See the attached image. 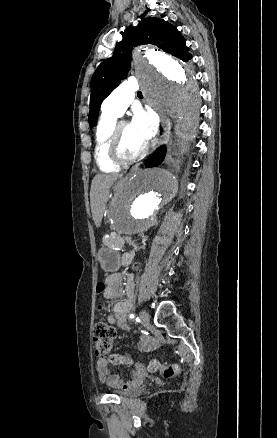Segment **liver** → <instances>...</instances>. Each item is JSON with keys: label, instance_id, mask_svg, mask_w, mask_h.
Wrapping results in <instances>:
<instances>
[{"label": "liver", "instance_id": "1", "mask_svg": "<svg viewBox=\"0 0 277 438\" xmlns=\"http://www.w3.org/2000/svg\"><path fill=\"white\" fill-rule=\"evenodd\" d=\"M119 176H104L97 174L92 180L90 192L91 212L96 228H100L104 210L108 202L109 188L118 180Z\"/></svg>", "mask_w": 277, "mask_h": 438}]
</instances>
